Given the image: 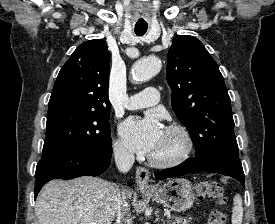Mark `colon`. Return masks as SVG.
<instances>
[{"instance_id": "5ec220e1", "label": "colon", "mask_w": 275, "mask_h": 224, "mask_svg": "<svg viewBox=\"0 0 275 224\" xmlns=\"http://www.w3.org/2000/svg\"><path fill=\"white\" fill-rule=\"evenodd\" d=\"M195 190L199 199L211 198L219 205H224L226 198L223 187L216 181L201 180L197 182ZM226 216L221 210H214L210 213L208 224H225Z\"/></svg>"}]
</instances>
